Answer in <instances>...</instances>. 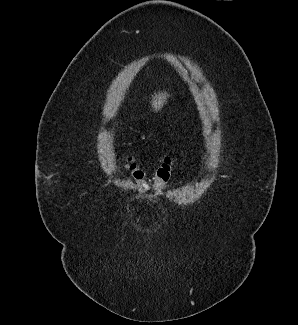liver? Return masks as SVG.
Wrapping results in <instances>:
<instances>
[{
	"instance_id": "6515ba94",
	"label": "liver",
	"mask_w": 298,
	"mask_h": 325,
	"mask_svg": "<svg viewBox=\"0 0 298 325\" xmlns=\"http://www.w3.org/2000/svg\"><path fill=\"white\" fill-rule=\"evenodd\" d=\"M151 96V106L154 112H159V110L164 108V104H167L168 98H170L171 94H169L168 90H154Z\"/></svg>"
}]
</instances>
